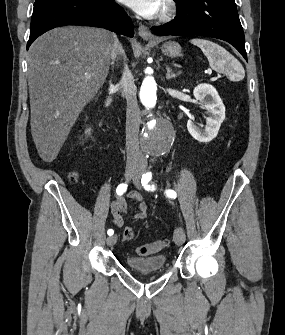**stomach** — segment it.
Wrapping results in <instances>:
<instances>
[{"label": "stomach", "instance_id": "stomach-1", "mask_svg": "<svg viewBox=\"0 0 285 335\" xmlns=\"http://www.w3.org/2000/svg\"><path fill=\"white\" fill-rule=\"evenodd\" d=\"M162 52L169 58H177L181 54V46L177 42H165L162 44Z\"/></svg>", "mask_w": 285, "mask_h": 335}]
</instances>
